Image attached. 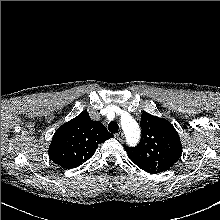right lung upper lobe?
<instances>
[{"mask_svg": "<svg viewBox=\"0 0 220 220\" xmlns=\"http://www.w3.org/2000/svg\"><path fill=\"white\" fill-rule=\"evenodd\" d=\"M113 137L99 121H92L87 112L60 126L54 133L49 157L63 168L78 167L92 157L100 143Z\"/></svg>", "mask_w": 220, "mask_h": 220, "instance_id": "1", "label": "right lung upper lobe"}]
</instances>
